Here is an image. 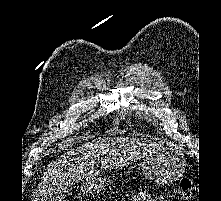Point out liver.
I'll use <instances>...</instances> for the list:
<instances>
[{
  "mask_svg": "<svg viewBox=\"0 0 221 201\" xmlns=\"http://www.w3.org/2000/svg\"><path fill=\"white\" fill-rule=\"evenodd\" d=\"M164 147L130 137H111L86 142L61 155L49 164L35 191L34 201H46L53 190L95 178L101 169H115L133 164Z\"/></svg>",
  "mask_w": 221,
  "mask_h": 201,
  "instance_id": "obj_1",
  "label": "liver"
}]
</instances>
